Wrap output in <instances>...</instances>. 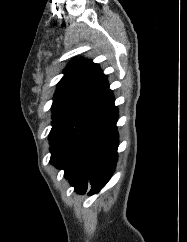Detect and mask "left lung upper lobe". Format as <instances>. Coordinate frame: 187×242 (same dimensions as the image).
Segmentation results:
<instances>
[{
  "instance_id": "1",
  "label": "left lung upper lobe",
  "mask_w": 187,
  "mask_h": 242,
  "mask_svg": "<svg viewBox=\"0 0 187 242\" xmlns=\"http://www.w3.org/2000/svg\"><path fill=\"white\" fill-rule=\"evenodd\" d=\"M53 97L50 163L57 168L77 140L114 105L107 76L98 64L79 58L63 71Z\"/></svg>"
}]
</instances>
